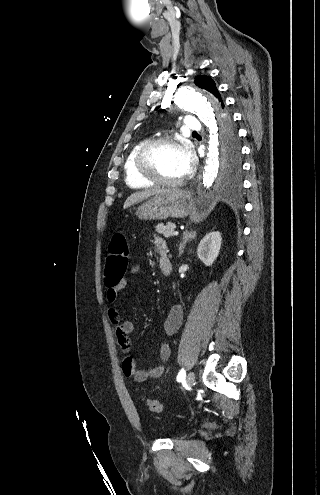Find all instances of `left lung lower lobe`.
Returning a JSON list of instances; mask_svg holds the SVG:
<instances>
[{
  "label": "left lung lower lobe",
  "mask_w": 320,
  "mask_h": 495,
  "mask_svg": "<svg viewBox=\"0 0 320 495\" xmlns=\"http://www.w3.org/2000/svg\"><path fill=\"white\" fill-rule=\"evenodd\" d=\"M228 121H229V123H230L231 125H233V123H232V117L230 116V114H229V113H228Z\"/></svg>",
  "instance_id": "left-lung-lower-lobe-1"
}]
</instances>
